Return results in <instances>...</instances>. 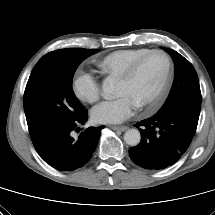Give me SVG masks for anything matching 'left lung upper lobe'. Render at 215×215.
<instances>
[{"label": "left lung upper lobe", "mask_w": 215, "mask_h": 215, "mask_svg": "<svg viewBox=\"0 0 215 215\" xmlns=\"http://www.w3.org/2000/svg\"><path fill=\"white\" fill-rule=\"evenodd\" d=\"M164 49L174 59L175 79L168 98L158 112L181 110L199 117L201 91L194 67L178 52L167 48Z\"/></svg>", "instance_id": "left-lung-upper-lobe-1"}]
</instances>
